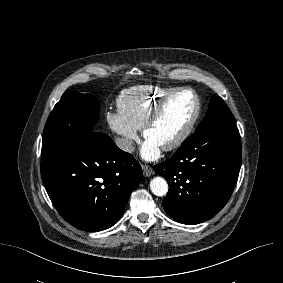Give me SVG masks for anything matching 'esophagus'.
I'll use <instances>...</instances> for the list:
<instances>
[{
	"label": "esophagus",
	"instance_id": "34e87169",
	"mask_svg": "<svg viewBox=\"0 0 283 283\" xmlns=\"http://www.w3.org/2000/svg\"><path fill=\"white\" fill-rule=\"evenodd\" d=\"M142 170H143L144 176L146 177H149L154 174V170L150 166L142 165Z\"/></svg>",
	"mask_w": 283,
	"mask_h": 283
}]
</instances>
